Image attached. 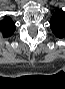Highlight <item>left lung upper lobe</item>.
Returning <instances> with one entry per match:
<instances>
[{
  "instance_id": "left-lung-upper-lobe-1",
  "label": "left lung upper lobe",
  "mask_w": 65,
  "mask_h": 89,
  "mask_svg": "<svg viewBox=\"0 0 65 89\" xmlns=\"http://www.w3.org/2000/svg\"><path fill=\"white\" fill-rule=\"evenodd\" d=\"M51 30L53 31L54 35L58 38H63L65 36V15L64 11L61 9H56L53 12L51 20Z\"/></svg>"
}]
</instances>
